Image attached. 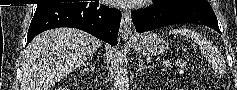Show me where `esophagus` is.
Here are the masks:
<instances>
[{"mask_svg": "<svg viewBox=\"0 0 237 90\" xmlns=\"http://www.w3.org/2000/svg\"><path fill=\"white\" fill-rule=\"evenodd\" d=\"M120 36L123 42H132L134 40L132 20L129 11H123L122 13Z\"/></svg>", "mask_w": 237, "mask_h": 90, "instance_id": "obj_1", "label": "esophagus"}]
</instances>
